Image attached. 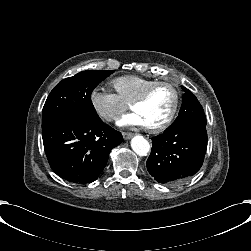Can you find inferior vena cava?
<instances>
[{
	"instance_id": "obj_1",
	"label": "inferior vena cava",
	"mask_w": 251,
	"mask_h": 251,
	"mask_svg": "<svg viewBox=\"0 0 251 251\" xmlns=\"http://www.w3.org/2000/svg\"><path fill=\"white\" fill-rule=\"evenodd\" d=\"M122 115L120 113H112L106 116L105 120L110 121V120H120Z\"/></svg>"
}]
</instances>
